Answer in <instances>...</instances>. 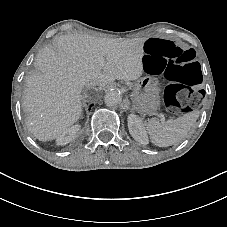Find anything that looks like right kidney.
<instances>
[{"instance_id": "ca27d5eb", "label": "right kidney", "mask_w": 227, "mask_h": 227, "mask_svg": "<svg viewBox=\"0 0 227 227\" xmlns=\"http://www.w3.org/2000/svg\"><path fill=\"white\" fill-rule=\"evenodd\" d=\"M79 130L78 126H74L72 128H70L69 130H67L66 132H64L58 139V144H67L68 142H70L71 140H73L75 133Z\"/></svg>"}]
</instances>
